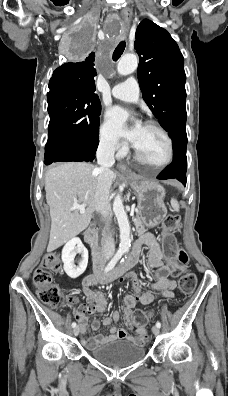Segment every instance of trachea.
<instances>
[{
    "label": "trachea",
    "mask_w": 228,
    "mask_h": 396,
    "mask_svg": "<svg viewBox=\"0 0 228 396\" xmlns=\"http://www.w3.org/2000/svg\"><path fill=\"white\" fill-rule=\"evenodd\" d=\"M125 46H126V42L125 41H121L118 46L115 48L114 52H113V60L116 62L121 55L123 54L124 50H125Z\"/></svg>",
    "instance_id": "obj_1"
}]
</instances>
